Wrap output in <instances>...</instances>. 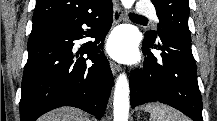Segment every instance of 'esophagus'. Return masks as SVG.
<instances>
[{"label":"esophagus","mask_w":217,"mask_h":121,"mask_svg":"<svg viewBox=\"0 0 217 121\" xmlns=\"http://www.w3.org/2000/svg\"><path fill=\"white\" fill-rule=\"evenodd\" d=\"M124 18V13L122 8L115 2L114 8H113V26L118 25ZM110 68L112 70V73L116 75V73L120 70V67L118 64H116L114 61H109Z\"/></svg>","instance_id":"esophagus-1"}]
</instances>
